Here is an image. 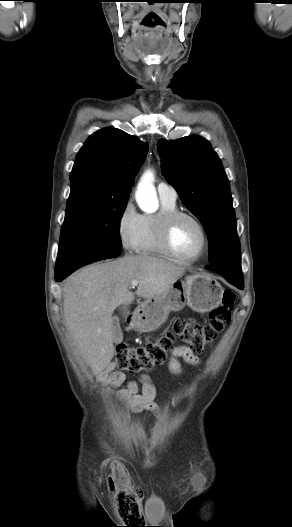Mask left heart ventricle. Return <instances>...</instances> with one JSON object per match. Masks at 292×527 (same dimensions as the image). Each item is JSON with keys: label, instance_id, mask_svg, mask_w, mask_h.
I'll return each mask as SVG.
<instances>
[{"label": "left heart ventricle", "instance_id": "1", "mask_svg": "<svg viewBox=\"0 0 292 527\" xmlns=\"http://www.w3.org/2000/svg\"><path fill=\"white\" fill-rule=\"evenodd\" d=\"M171 243L178 254L191 258L201 250L202 234L192 220L180 218L172 228Z\"/></svg>", "mask_w": 292, "mask_h": 527}]
</instances>
